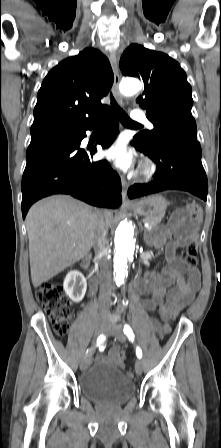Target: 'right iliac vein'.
Here are the masks:
<instances>
[{
	"instance_id": "1",
	"label": "right iliac vein",
	"mask_w": 221,
	"mask_h": 448,
	"mask_svg": "<svg viewBox=\"0 0 221 448\" xmlns=\"http://www.w3.org/2000/svg\"><path fill=\"white\" fill-rule=\"evenodd\" d=\"M104 331H105V324L103 321L99 320L95 326L94 338L97 339ZM90 362H91V354H87L86 356L83 357V359L81 361V364H80L81 370L82 371L87 370L88 367L90 366Z\"/></svg>"
}]
</instances>
